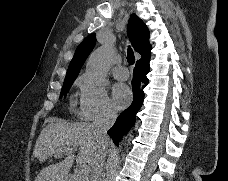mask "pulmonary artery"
Wrapping results in <instances>:
<instances>
[{
  "label": "pulmonary artery",
  "instance_id": "e3ab8cb5",
  "mask_svg": "<svg viewBox=\"0 0 228 181\" xmlns=\"http://www.w3.org/2000/svg\"><path fill=\"white\" fill-rule=\"evenodd\" d=\"M126 68L120 67L115 70V74L117 75V79H129V74H126Z\"/></svg>",
  "mask_w": 228,
  "mask_h": 181
}]
</instances>
